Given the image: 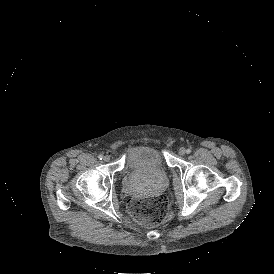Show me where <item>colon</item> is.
Listing matches in <instances>:
<instances>
[{"mask_svg":"<svg viewBox=\"0 0 274 274\" xmlns=\"http://www.w3.org/2000/svg\"><path fill=\"white\" fill-rule=\"evenodd\" d=\"M129 211L133 220L140 225L159 226L170 217L168 200L163 194L136 196L129 203Z\"/></svg>","mask_w":274,"mask_h":274,"instance_id":"obj_1","label":"colon"}]
</instances>
